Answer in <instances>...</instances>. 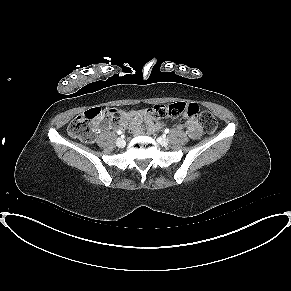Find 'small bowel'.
Listing matches in <instances>:
<instances>
[{
  "label": "small bowel",
  "mask_w": 291,
  "mask_h": 291,
  "mask_svg": "<svg viewBox=\"0 0 291 291\" xmlns=\"http://www.w3.org/2000/svg\"><path fill=\"white\" fill-rule=\"evenodd\" d=\"M151 109L146 110H124L120 113L117 118L111 119L105 126L109 128H122L127 127L136 136L142 132L141 125L145 121L149 133H153L157 129L164 126V122L157 121L153 122L150 116ZM186 131L191 139H197L201 135V128L196 116H187Z\"/></svg>",
  "instance_id": "small-bowel-1"
}]
</instances>
